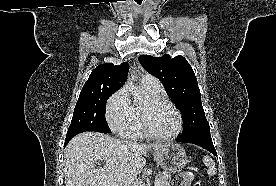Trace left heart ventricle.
Segmentation results:
<instances>
[{
	"mask_svg": "<svg viewBox=\"0 0 276 186\" xmlns=\"http://www.w3.org/2000/svg\"><path fill=\"white\" fill-rule=\"evenodd\" d=\"M145 108L152 130L158 135H171L178 127V117L174 110L167 105L152 107L148 103Z\"/></svg>",
	"mask_w": 276,
	"mask_h": 186,
	"instance_id": "1",
	"label": "left heart ventricle"
}]
</instances>
